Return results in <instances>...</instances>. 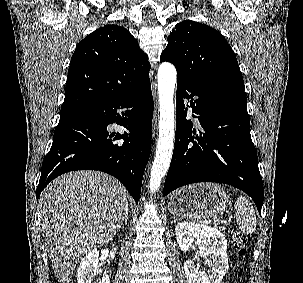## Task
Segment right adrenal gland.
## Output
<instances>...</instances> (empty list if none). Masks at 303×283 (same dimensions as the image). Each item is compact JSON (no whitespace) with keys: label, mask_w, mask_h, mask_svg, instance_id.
<instances>
[{"label":"right adrenal gland","mask_w":303,"mask_h":283,"mask_svg":"<svg viewBox=\"0 0 303 283\" xmlns=\"http://www.w3.org/2000/svg\"><path fill=\"white\" fill-rule=\"evenodd\" d=\"M127 221H128V207L126 208L122 218H121V222L119 224V227H118V231L121 229L122 225H125L127 224Z\"/></svg>","instance_id":"obj_1"}]
</instances>
